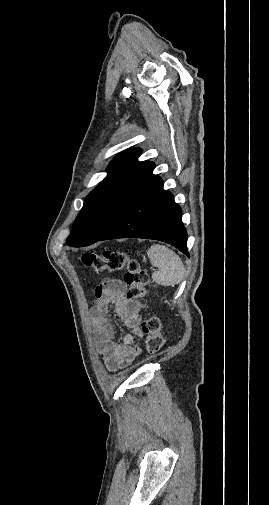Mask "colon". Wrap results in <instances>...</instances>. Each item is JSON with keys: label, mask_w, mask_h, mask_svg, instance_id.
I'll use <instances>...</instances> for the list:
<instances>
[{"label": "colon", "mask_w": 269, "mask_h": 505, "mask_svg": "<svg viewBox=\"0 0 269 505\" xmlns=\"http://www.w3.org/2000/svg\"><path fill=\"white\" fill-rule=\"evenodd\" d=\"M85 266L93 269V278L100 280L102 271L125 270L124 281L128 286L127 297L138 299L145 296L150 279L140 263L130 258L124 251L104 250L101 253H86L82 256ZM141 330L146 334L145 348L149 354H155L165 345V336L159 318L151 316L141 323Z\"/></svg>", "instance_id": "obj_1"}]
</instances>
